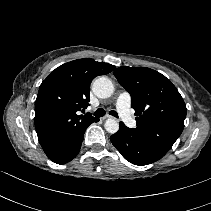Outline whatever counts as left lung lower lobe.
<instances>
[{
  "instance_id": "0a47b994",
  "label": "left lung lower lobe",
  "mask_w": 211,
  "mask_h": 211,
  "mask_svg": "<svg viewBox=\"0 0 211 211\" xmlns=\"http://www.w3.org/2000/svg\"><path fill=\"white\" fill-rule=\"evenodd\" d=\"M110 140L122 156L135 165H148L164 156L134 129L126 127L123 122H120V129L110 137Z\"/></svg>"
}]
</instances>
